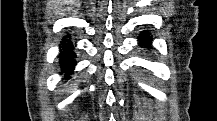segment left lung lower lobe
Wrapping results in <instances>:
<instances>
[{
  "label": "left lung lower lobe",
  "mask_w": 217,
  "mask_h": 121,
  "mask_svg": "<svg viewBox=\"0 0 217 121\" xmlns=\"http://www.w3.org/2000/svg\"><path fill=\"white\" fill-rule=\"evenodd\" d=\"M139 39V46L148 48L149 44L152 43V37L144 31L140 36L138 37Z\"/></svg>",
  "instance_id": "obj_1"
}]
</instances>
